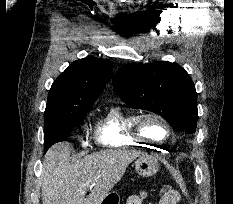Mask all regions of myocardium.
Returning <instances> with one entry per match:
<instances>
[{
  "label": "myocardium",
  "instance_id": "myocardium-1",
  "mask_svg": "<svg viewBox=\"0 0 233 204\" xmlns=\"http://www.w3.org/2000/svg\"><path fill=\"white\" fill-rule=\"evenodd\" d=\"M149 119L156 120L163 124L165 127L166 135L162 139L151 137L145 132L144 123ZM133 131L138 137L153 143H163L167 141L172 135V128L168 120L164 116L152 111L143 112L136 116L133 125Z\"/></svg>",
  "mask_w": 233,
  "mask_h": 204
}]
</instances>
